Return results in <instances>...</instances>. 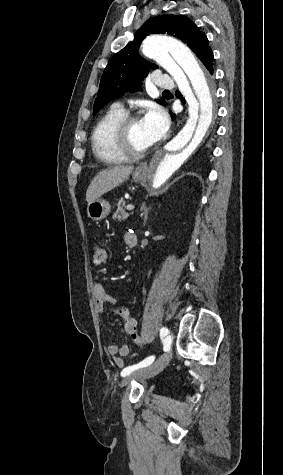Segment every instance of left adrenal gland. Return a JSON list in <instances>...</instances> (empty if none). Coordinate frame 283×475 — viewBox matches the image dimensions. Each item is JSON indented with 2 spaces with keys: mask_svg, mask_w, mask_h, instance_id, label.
Here are the masks:
<instances>
[{
  "mask_svg": "<svg viewBox=\"0 0 283 475\" xmlns=\"http://www.w3.org/2000/svg\"><path fill=\"white\" fill-rule=\"evenodd\" d=\"M142 214H144V226L147 222V218H148V212L150 210V208H146V204H142L141 208H140Z\"/></svg>",
  "mask_w": 283,
  "mask_h": 475,
  "instance_id": "obj_1",
  "label": "left adrenal gland"
}]
</instances>
